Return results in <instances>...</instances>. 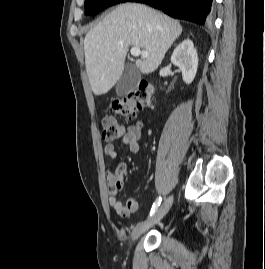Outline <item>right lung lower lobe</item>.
<instances>
[{
  "mask_svg": "<svg viewBox=\"0 0 265 269\" xmlns=\"http://www.w3.org/2000/svg\"><path fill=\"white\" fill-rule=\"evenodd\" d=\"M213 0H128L145 3L178 19L204 24Z\"/></svg>",
  "mask_w": 265,
  "mask_h": 269,
  "instance_id": "1",
  "label": "right lung lower lobe"
}]
</instances>
